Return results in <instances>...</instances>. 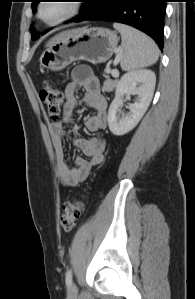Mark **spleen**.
Returning <instances> with one entry per match:
<instances>
[{
  "instance_id": "spleen-1",
  "label": "spleen",
  "mask_w": 195,
  "mask_h": 299,
  "mask_svg": "<svg viewBox=\"0 0 195 299\" xmlns=\"http://www.w3.org/2000/svg\"><path fill=\"white\" fill-rule=\"evenodd\" d=\"M122 38L120 65L124 71L148 67L156 63L159 49L156 43L144 33L125 24L114 23Z\"/></svg>"
}]
</instances>
